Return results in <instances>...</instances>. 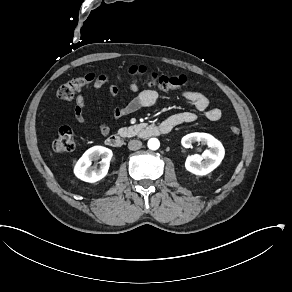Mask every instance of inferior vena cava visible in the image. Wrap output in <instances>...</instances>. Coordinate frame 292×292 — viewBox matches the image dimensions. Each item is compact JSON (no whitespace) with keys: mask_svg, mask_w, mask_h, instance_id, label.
<instances>
[{"mask_svg":"<svg viewBox=\"0 0 292 292\" xmlns=\"http://www.w3.org/2000/svg\"><path fill=\"white\" fill-rule=\"evenodd\" d=\"M141 146H142V143L139 140H131L128 143V149L131 151H136V150L140 149Z\"/></svg>","mask_w":292,"mask_h":292,"instance_id":"1","label":"inferior vena cava"}]
</instances>
